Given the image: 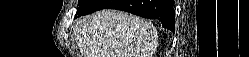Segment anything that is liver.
<instances>
[{
  "label": "liver",
  "instance_id": "liver-1",
  "mask_svg": "<svg viewBox=\"0 0 249 57\" xmlns=\"http://www.w3.org/2000/svg\"><path fill=\"white\" fill-rule=\"evenodd\" d=\"M76 36L84 57H152L158 44L151 22L109 9L78 19Z\"/></svg>",
  "mask_w": 249,
  "mask_h": 57
}]
</instances>
